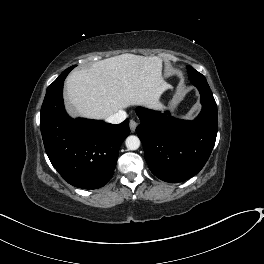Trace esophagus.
Segmentation results:
<instances>
[{
  "label": "esophagus",
  "instance_id": "1",
  "mask_svg": "<svg viewBox=\"0 0 264 264\" xmlns=\"http://www.w3.org/2000/svg\"><path fill=\"white\" fill-rule=\"evenodd\" d=\"M138 123L134 120V119H131L130 122H129V126H130V130L132 132L135 131L136 127H137Z\"/></svg>",
  "mask_w": 264,
  "mask_h": 264
}]
</instances>
